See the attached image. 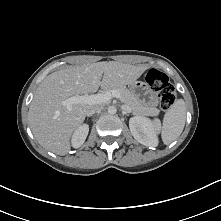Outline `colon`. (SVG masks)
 <instances>
[{
	"label": "colon",
	"mask_w": 221,
	"mask_h": 221,
	"mask_svg": "<svg viewBox=\"0 0 221 221\" xmlns=\"http://www.w3.org/2000/svg\"><path fill=\"white\" fill-rule=\"evenodd\" d=\"M146 81L157 93L160 108L165 111L169 110L175 103L177 95L168 76L157 69H151L146 75Z\"/></svg>",
	"instance_id": "1"
}]
</instances>
